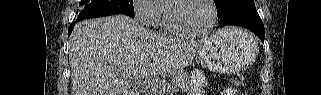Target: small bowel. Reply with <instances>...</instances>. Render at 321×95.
<instances>
[{"label": "small bowel", "mask_w": 321, "mask_h": 95, "mask_svg": "<svg viewBox=\"0 0 321 95\" xmlns=\"http://www.w3.org/2000/svg\"><path fill=\"white\" fill-rule=\"evenodd\" d=\"M222 95H237V91L233 88H227L222 92Z\"/></svg>", "instance_id": "1"}]
</instances>
